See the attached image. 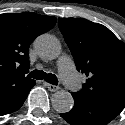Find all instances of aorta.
<instances>
[{"label": "aorta", "mask_w": 125, "mask_h": 125, "mask_svg": "<svg viewBox=\"0 0 125 125\" xmlns=\"http://www.w3.org/2000/svg\"><path fill=\"white\" fill-rule=\"evenodd\" d=\"M38 55L46 60H54L58 58L61 53L60 42L52 35H40L34 43ZM53 108L59 113L69 112L73 105L74 100L68 91L60 90L55 92L51 98Z\"/></svg>", "instance_id": "obj_1"}]
</instances>
